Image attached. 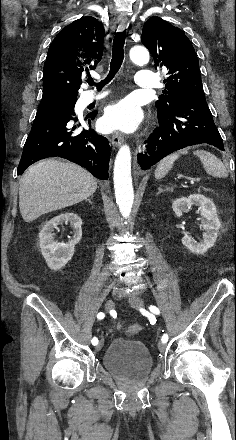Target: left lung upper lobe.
Instances as JSON below:
<instances>
[{
	"label": "left lung upper lobe",
	"instance_id": "5c2ea615",
	"mask_svg": "<svg viewBox=\"0 0 236 440\" xmlns=\"http://www.w3.org/2000/svg\"><path fill=\"white\" fill-rule=\"evenodd\" d=\"M142 43L152 54L155 68L167 71L166 90L155 102L158 116L170 114L186 97L204 95L197 54L179 28L153 16L143 26Z\"/></svg>",
	"mask_w": 236,
	"mask_h": 440
}]
</instances>
